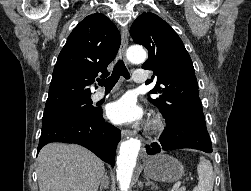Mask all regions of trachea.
<instances>
[{
    "mask_svg": "<svg viewBox=\"0 0 251 191\" xmlns=\"http://www.w3.org/2000/svg\"><path fill=\"white\" fill-rule=\"evenodd\" d=\"M123 76L126 80L130 78V74L123 62V60L119 59L116 65L113 68L112 75L105 80H97L100 86H104L105 89H112L113 86L116 85L119 78Z\"/></svg>",
    "mask_w": 251,
    "mask_h": 191,
    "instance_id": "obj_1",
    "label": "trachea"
}]
</instances>
